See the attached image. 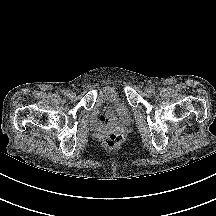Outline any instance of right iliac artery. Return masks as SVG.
<instances>
[{"mask_svg": "<svg viewBox=\"0 0 216 216\" xmlns=\"http://www.w3.org/2000/svg\"><path fill=\"white\" fill-rule=\"evenodd\" d=\"M64 95L69 96V95H70L69 91L66 90V91L64 92Z\"/></svg>", "mask_w": 216, "mask_h": 216, "instance_id": "right-iliac-artery-1", "label": "right iliac artery"}]
</instances>
